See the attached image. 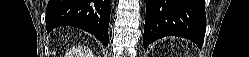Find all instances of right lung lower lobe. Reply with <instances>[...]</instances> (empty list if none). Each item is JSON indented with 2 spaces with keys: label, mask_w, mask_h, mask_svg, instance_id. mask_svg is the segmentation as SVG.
<instances>
[{
  "label": "right lung lower lobe",
  "mask_w": 249,
  "mask_h": 57,
  "mask_svg": "<svg viewBox=\"0 0 249 57\" xmlns=\"http://www.w3.org/2000/svg\"><path fill=\"white\" fill-rule=\"evenodd\" d=\"M110 0H49L46 28L50 32L59 26H74L92 33L108 45Z\"/></svg>",
  "instance_id": "1"
}]
</instances>
